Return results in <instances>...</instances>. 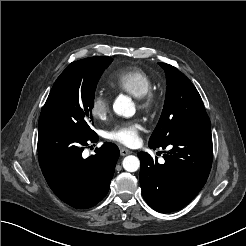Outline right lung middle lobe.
Returning <instances> with one entry per match:
<instances>
[{"mask_svg":"<svg viewBox=\"0 0 246 246\" xmlns=\"http://www.w3.org/2000/svg\"><path fill=\"white\" fill-rule=\"evenodd\" d=\"M110 57H90L71 63L57 78L41 111L38 127L76 132L84 136L95 134L92 120L94 93Z\"/></svg>","mask_w":246,"mask_h":246,"instance_id":"right-lung-middle-lobe-1","label":"right lung middle lobe"}]
</instances>
